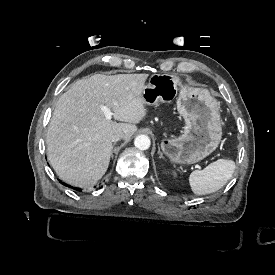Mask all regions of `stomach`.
I'll return each instance as SVG.
<instances>
[{
  "mask_svg": "<svg viewBox=\"0 0 275 275\" xmlns=\"http://www.w3.org/2000/svg\"><path fill=\"white\" fill-rule=\"evenodd\" d=\"M178 93V76L155 74L142 90L146 105L158 102L170 103ZM178 112L185 126L177 136L160 141V149L174 165H192L211 155L222 142V123L219 102L207 89L180 88L177 100Z\"/></svg>",
  "mask_w": 275,
  "mask_h": 275,
  "instance_id": "stomach-1",
  "label": "stomach"
}]
</instances>
